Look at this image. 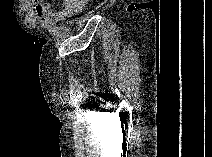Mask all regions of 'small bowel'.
Listing matches in <instances>:
<instances>
[{"label": "small bowel", "instance_id": "c3829d8e", "mask_svg": "<svg viewBox=\"0 0 212 157\" xmlns=\"http://www.w3.org/2000/svg\"><path fill=\"white\" fill-rule=\"evenodd\" d=\"M86 6L85 0H64L61 9H55L52 2L39 1L35 4L34 14L45 26H53L63 22L67 17L77 13ZM28 7H23L26 21H30Z\"/></svg>", "mask_w": 212, "mask_h": 157}]
</instances>
